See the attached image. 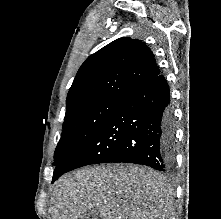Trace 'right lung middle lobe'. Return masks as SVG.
<instances>
[{
	"instance_id": "right-lung-middle-lobe-1",
	"label": "right lung middle lobe",
	"mask_w": 221,
	"mask_h": 219,
	"mask_svg": "<svg viewBox=\"0 0 221 219\" xmlns=\"http://www.w3.org/2000/svg\"><path fill=\"white\" fill-rule=\"evenodd\" d=\"M121 100L96 99L68 109L63 132L54 153L53 165L57 166L65 157L82 146L100 128Z\"/></svg>"
}]
</instances>
